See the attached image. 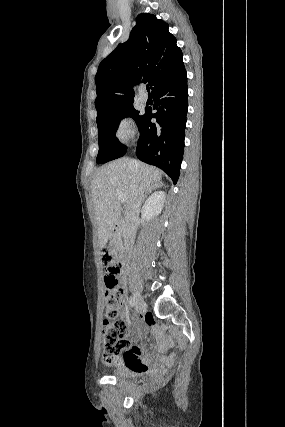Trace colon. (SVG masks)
Wrapping results in <instances>:
<instances>
[{"mask_svg": "<svg viewBox=\"0 0 285 427\" xmlns=\"http://www.w3.org/2000/svg\"><path fill=\"white\" fill-rule=\"evenodd\" d=\"M105 272V295L106 318L104 320L102 361L105 365H113L118 361L120 355L131 351L133 345L125 337L127 323L118 317V311L122 303L121 293L117 289L121 264L108 252L104 251L101 257ZM138 369H143L145 364L141 361L135 364Z\"/></svg>", "mask_w": 285, "mask_h": 427, "instance_id": "5ec220e1", "label": "colon"}]
</instances>
